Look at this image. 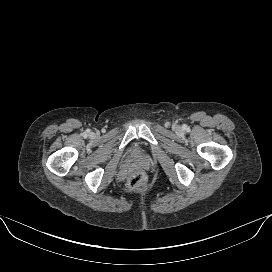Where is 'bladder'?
<instances>
[{
    "label": "bladder",
    "instance_id": "bladder-1",
    "mask_svg": "<svg viewBox=\"0 0 272 272\" xmlns=\"http://www.w3.org/2000/svg\"><path fill=\"white\" fill-rule=\"evenodd\" d=\"M144 153H145L144 149L138 145L133 146L131 149V154L134 157H140V156L144 155Z\"/></svg>",
    "mask_w": 272,
    "mask_h": 272
}]
</instances>
